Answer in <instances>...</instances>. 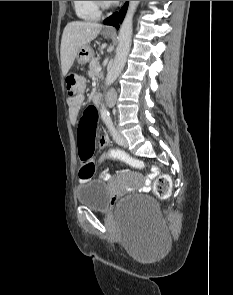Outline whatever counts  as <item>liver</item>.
Returning <instances> with one entry per match:
<instances>
[{
    "instance_id": "6515ba94",
    "label": "liver",
    "mask_w": 233,
    "mask_h": 295,
    "mask_svg": "<svg viewBox=\"0 0 233 295\" xmlns=\"http://www.w3.org/2000/svg\"><path fill=\"white\" fill-rule=\"evenodd\" d=\"M102 28V24L86 21H73L66 25L60 48L61 69L64 76L73 65L79 49L94 40Z\"/></svg>"
}]
</instances>
